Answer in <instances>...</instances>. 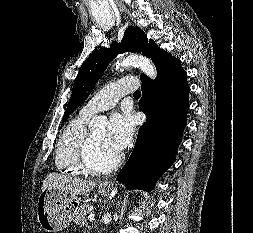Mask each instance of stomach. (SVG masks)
<instances>
[{"label":"stomach","instance_id":"0dacf381","mask_svg":"<svg viewBox=\"0 0 253 233\" xmlns=\"http://www.w3.org/2000/svg\"><path fill=\"white\" fill-rule=\"evenodd\" d=\"M98 192L106 195L109 188L99 185ZM79 199L59 189H45L37 203V219L44 232H58L66 228L79 209Z\"/></svg>","mask_w":253,"mask_h":233}]
</instances>
